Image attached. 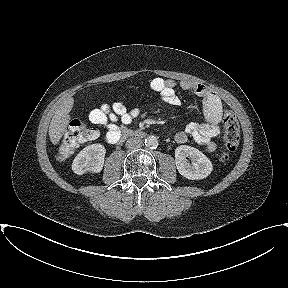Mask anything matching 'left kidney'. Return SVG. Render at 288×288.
Wrapping results in <instances>:
<instances>
[{"label": "left kidney", "instance_id": "obj_1", "mask_svg": "<svg viewBox=\"0 0 288 288\" xmlns=\"http://www.w3.org/2000/svg\"><path fill=\"white\" fill-rule=\"evenodd\" d=\"M187 158L191 159V163ZM175 163L178 172L190 180L206 178L212 171L211 161L198 149L181 145L175 149Z\"/></svg>", "mask_w": 288, "mask_h": 288}]
</instances>
